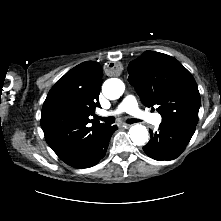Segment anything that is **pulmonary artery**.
<instances>
[{
    "mask_svg": "<svg viewBox=\"0 0 221 221\" xmlns=\"http://www.w3.org/2000/svg\"><path fill=\"white\" fill-rule=\"evenodd\" d=\"M123 112L132 114L136 118L154 125H159L162 121V117L159 114L148 113L141 110L138 107L135 97L131 95L126 96L114 112H103L102 114L111 115Z\"/></svg>",
    "mask_w": 221,
    "mask_h": 221,
    "instance_id": "e3ab8cb5",
    "label": "pulmonary artery"
}]
</instances>
